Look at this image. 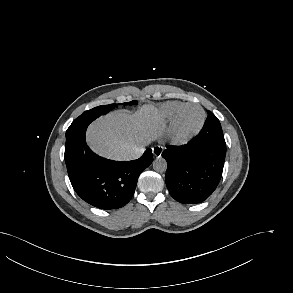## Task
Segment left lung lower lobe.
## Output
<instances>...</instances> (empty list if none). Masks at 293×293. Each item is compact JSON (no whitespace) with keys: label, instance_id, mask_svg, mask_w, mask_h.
Masks as SVG:
<instances>
[{"label":"left lung lower lobe","instance_id":"obj_1","mask_svg":"<svg viewBox=\"0 0 293 293\" xmlns=\"http://www.w3.org/2000/svg\"><path fill=\"white\" fill-rule=\"evenodd\" d=\"M226 155L222 128L206 119L200 133L182 146H167L166 185L184 204L201 203L218 186Z\"/></svg>","mask_w":293,"mask_h":293}]
</instances>
